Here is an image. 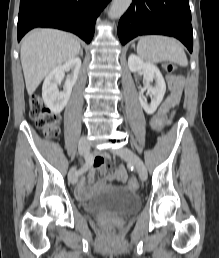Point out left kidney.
Wrapping results in <instances>:
<instances>
[{"label": "left kidney", "instance_id": "1", "mask_svg": "<svg viewBox=\"0 0 219 258\" xmlns=\"http://www.w3.org/2000/svg\"><path fill=\"white\" fill-rule=\"evenodd\" d=\"M128 66L132 72L142 70L145 84L139 93V101L147 114H153L163 100L166 92L165 80L160 70L156 65L144 62L140 57L134 54L129 56ZM153 80L155 81V86L150 85V82H153ZM146 90L152 94L150 103H147V99L143 96V92Z\"/></svg>", "mask_w": 219, "mask_h": 258}]
</instances>
